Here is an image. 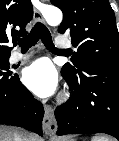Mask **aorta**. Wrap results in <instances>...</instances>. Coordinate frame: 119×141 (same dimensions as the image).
<instances>
[{
	"label": "aorta",
	"mask_w": 119,
	"mask_h": 141,
	"mask_svg": "<svg viewBox=\"0 0 119 141\" xmlns=\"http://www.w3.org/2000/svg\"><path fill=\"white\" fill-rule=\"evenodd\" d=\"M44 17L47 21V23L51 26L59 25L62 21V12L55 7L49 8L45 14Z\"/></svg>",
	"instance_id": "762f6f07"
}]
</instances>
